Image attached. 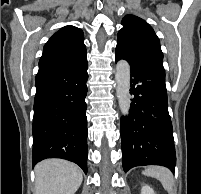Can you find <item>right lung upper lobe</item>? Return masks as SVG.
Listing matches in <instances>:
<instances>
[{
  "instance_id": "1",
  "label": "right lung upper lobe",
  "mask_w": 201,
  "mask_h": 194,
  "mask_svg": "<svg viewBox=\"0 0 201 194\" xmlns=\"http://www.w3.org/2000/svg\"><path fill=\"white\" fill-rule=\"evenodd\" d=\"M83 32L74 26H65L45 44L39 61V71H65L87 64Z\"/></svg>"
}]
</instances>
